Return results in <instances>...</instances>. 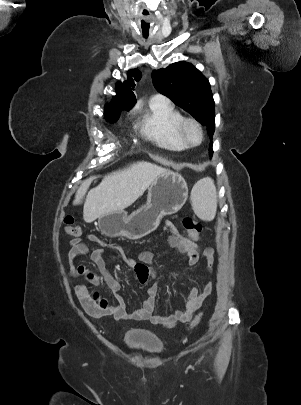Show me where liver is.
Instances as JSON below:
<instances>
[{"label": "liver", "instance_id": "obj_1", "mask_svg": "<svg viewBox=\"0 0 301 405\" xmlns=\"http://www.w3.org/2000/svg\"><path fill=\"white\" fill-rule=\"evenodd\" d=\"M166 170L150 162L140 161L112 172L91 189L85 199L83 217L86 222L131 206L152 182ZM93 178L85 180L76 192L74 205L82 203Z\"/></svg>", "mask_w": 301, "mask_h": 405}]
</instances>
